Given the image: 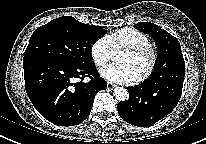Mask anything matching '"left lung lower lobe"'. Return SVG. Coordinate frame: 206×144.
I'll list each match as a JSON object with an SVG mask.
<instances>
[{
    "label": "left lung lower lobe",
    "mask_w": 206,
    "mask_h": 144,
    "mask_svg": "<svg viewBox=\"0 0 206 144\" xmlns=\"http://www.w3.org/2000/svg\"><path fill=\"white\" fill-rule=\"evenodd\" d=\"M185 70L169 72L157 83L128 87L129 99L119 102L121 118L137 127H148L167 116L181 98Z\"/></svg>",
    "instance_id": "1"
}]
</instances>
